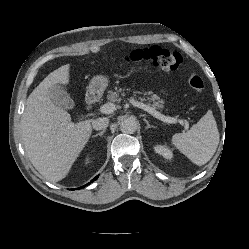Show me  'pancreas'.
<instances>
[{"label": "pancreas", "instance_id": "pancreas-1", "mask_svg": "<svg viewBox=\"0 0 249 249\" xmlns=\"http://www.w3.org/2000/svg\"><path fill=\"white\" fill-rule=\"evenodd\" d=\"M121 92L120 89H115L114 90H109L108 91V95H107V99L112 101V102H116L119 101V93ZM125 93L122 92V95H124ZM148 95H151V92L147 93ZM142 101L147 100L149 103H152V107L154 109H163L164 108V101L162 99H160V97H158L157 95H151L150 97L147 98H142Z\"/></svg>", "mask_w": 249, "mask_h": 249}]
</instances>
